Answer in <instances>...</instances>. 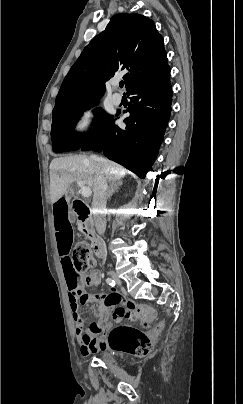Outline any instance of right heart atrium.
Wrapping results in <instances>:
<instances>
[{
  "label": "right heart atrium",
  "instance_id": "right-heart-atrium-1",
  "mask_svg": "<svg viewBox=\"0 0 243 404\" xmlns=\"http://www.w3.org/2000/svg\"><path fill=\"white\" fill-rule=\"evenodd\" d=\"M99 113L92 106H84L78 109L69 126V133L75 140H87L91 138L97 128Z\"/></svg>",
  "mask_w": 243,
  "mask_h": 404
}]
</instances>
